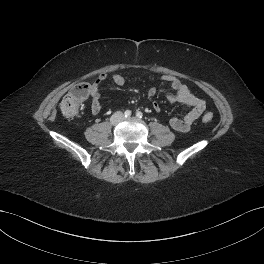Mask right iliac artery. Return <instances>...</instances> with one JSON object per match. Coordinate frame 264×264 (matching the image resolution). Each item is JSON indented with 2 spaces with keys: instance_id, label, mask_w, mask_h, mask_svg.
<instances>
[{
  "instance_id": "obj_1",
  "label": "right iliac artery",
  "mask_w": 264,
  "mask_h": 264,
  "mask_svg": "<svg viewBox=\"0 0 264 264\" xmlns=\"http://www.w3.org/2000/svg\"><path fill=\"white\" fill-rule=\"evenodd\" d=\"M124 116H125V117H130V116H131V111H130V110H126V111L124 112Z\"/></svg>"
}]
</instances>
